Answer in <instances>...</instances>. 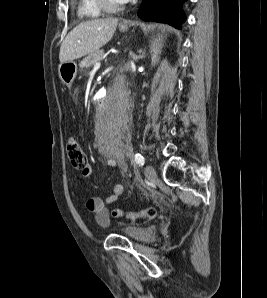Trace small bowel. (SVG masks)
I'll return each mask as SVG.
<instances>
[{
    "instance_id": "1",
    "label": "small bowel",
    "mask_w": 267,
    "mask_h": 298,
    "mask_svg": "<svg viewBox=\"0 0 267 298\" xmlns=\"http://www.w3.org/2000/svg\"><path fill=\"white\" fill-rule=\"evenodd\" d=\"M111 166H115V163H111ZM121 171H125L123 166L120 167ZM93 167L88 165L85 172L83 173L85 177L92 174ZM124 186L121 183L115 184L112 193L106 198L92 197L88 199L85 203L86 210L91 213L98 225L102 227H107L110 224V214L108 205L115 203L119 197L123 194Z\"/></svg>"
}]
</instances>
